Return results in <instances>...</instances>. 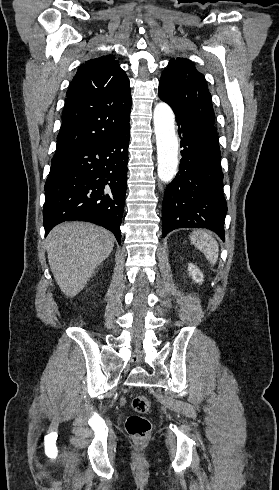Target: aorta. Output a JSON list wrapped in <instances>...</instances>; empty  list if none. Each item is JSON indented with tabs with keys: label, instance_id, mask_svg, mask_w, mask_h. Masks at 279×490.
Returning a JSON list of instances; mask_svg holds the SVG:
<instances>
[{
	"label": "aorta",
	"instance_id": "1",
	"mask_svg": "<svg viewBox=\"0 0 279 490\" xmlns=\"http://www.w3.org/2000/svg\"><path fill=\"white\" fill-rule=\"evenodd\" d=\"M154 132L156 136L158 177L168 183L177 173L178 166V138L175 131V116L164 102L154 108Z\"/></svg>",
	"mask_w": 279,
	"mask_h": 490
}]
</instances>
